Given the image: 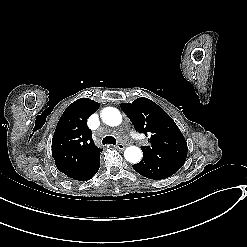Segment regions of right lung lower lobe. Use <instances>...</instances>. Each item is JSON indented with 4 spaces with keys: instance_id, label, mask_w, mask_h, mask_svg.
Returning <instances> with one entry per match:
<instances>
[{
    "instance_id": "obj_1",
    "label": "right lung lower lobe",
    "mask_w": 247,
    "mask_h": 247,
    "mask_svg": "<svg viewBox=\"0 0 247 247\" xmlns=\"http://www.w3.org/2000/svg\"><path fill=\"white\" fill-rule=\"evenodd\" d=\"M99 159L100 156L97 157L93 163L87 168L85 169L81 174L73 177L72 179L77 180V181H87L90 180L99 170Z\"/></svg>"
}]
</instances>
